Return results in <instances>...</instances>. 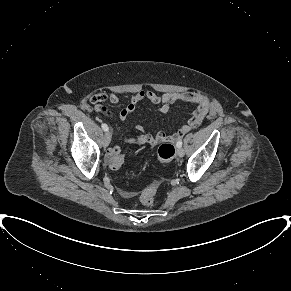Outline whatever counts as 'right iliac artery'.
<instances>
[{"label": "right iliac artery", "instance_id": "obj_1", "mask_svg": "<svg viewBox=\"0 0 291 291\" xmlns=\"http://www.w3.org/2000/svg\"><path fill=\"white\" fill-rule=\"evenodd\" d=\"M101 127H102V129H103L104 131H108V130H109L108 126H107L105 123H103V124L101 125Z\"/></svg>", "mask_w": 291, "mask_h": 291}]
</instances>
